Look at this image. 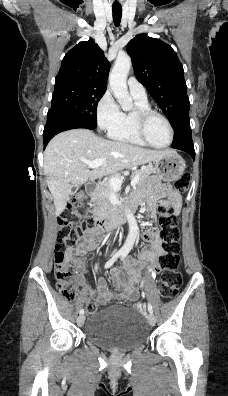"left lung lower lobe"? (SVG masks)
<instances>
[{
  "mask_svg": "<svg viewBox=\"0 0 228 396\" xmlns=\"http://www.w3.org/2000/svg\"><path fill=\"white\" fill-rule=\"evenodd\" d=\"M174 131L175 133L172 147L187 152L194 159V147L192 142L189 116L184 117L182 124L178 128L174 129Z\"/></svg>",
  "mask_w": 228,
  "mask_h": 396,
  "instance_id": "1",
  "label": "left lung lower lobe"
}]
</instances>
